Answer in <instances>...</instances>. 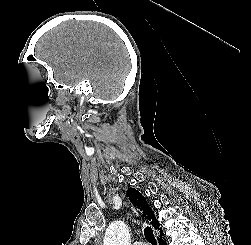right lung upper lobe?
Wrapping results in <instances>:
<instances>
[{"label":"right lung upper lobe","mask_w":251,"mask_h":245,"mask_svg":"<svg viewBox=\"0 0 251 245\" xmlns=\"http://www.w3.org/2000/svg\"><path fill=\"white\" fill-rule=\"evenodd\" d=\"M126 195L127 197H129L133 205L136 206L140 211H142L143 215L150 221L152 226L158 229L159 223L156 220L155 215L146 202L145 198L135 189H129Z\"/></svg>","instance_id":"cb5924a9"}]
</instances>
